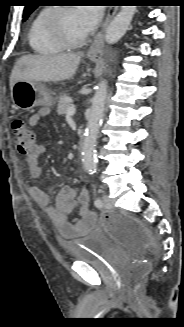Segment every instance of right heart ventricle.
<instances>
[{"mask_svg": "<svg viewBox=\"0 0 184 327\" xmlns=\"http://www.w3.org/2000/svg\"><path fill=\"white\" fill-rule=\"evenodd\" d=\"M52 8H43L32 19L28 30L30 47L38 54L55 55L63 52L66 47L56 41L47 29V19Z\"/></svg>", "mask_w": 184, "mask_h": 327, "instance_id": "right-heart-ventricle-1", "label": "right heart ventricle"}]
</instances>
